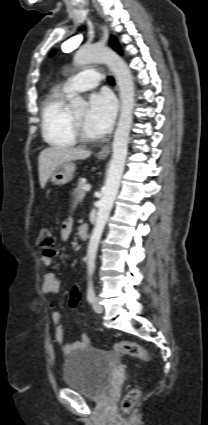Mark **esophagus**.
I'll use <instances>...</instances> for the list:
<instances>
[{
	"label": "esophagus",
	"mask_w": 208,
	"mask_h": 425,
	"mask_svg": "<svg viewBox=\"0 0 208 425\" xmlns=\"http://www.w3.org/2000/svg\"><path fill=\"white\" fill-rule=\"evenodd\" d=\"M118 90V88H117ZM111 151V144H106L97 153L98 157H107Z\"/></svg>",
	"instance_id": "34e87169"
}]
</instances>
